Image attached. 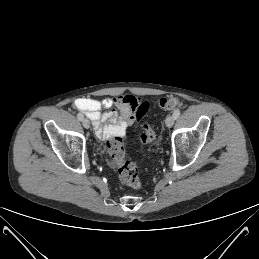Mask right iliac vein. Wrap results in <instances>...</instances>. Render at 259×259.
Listing matches in <instances>:
<instances>
[{
	"instance_id": "1",
	"label": "right iliac vein",
	"mask_w": 259,
	"mask_h": 259,
	"mask_svg": "<svg viewBox=\"0 0 259 259\" xmlns=\"http://www.w3.org/2000/svg\"><path fill=\"white\" fill-rule=\"evenodd\" d=\"M82 123H83L84 128H86V129L90 128V121L87 118H84L82 120Z\"/></svg>"
}]
</instances>
